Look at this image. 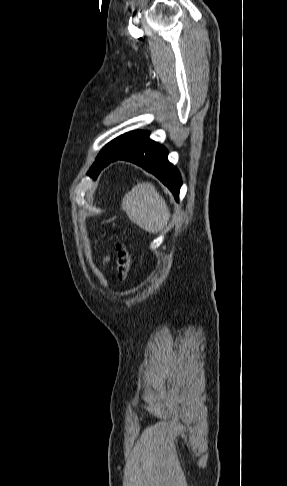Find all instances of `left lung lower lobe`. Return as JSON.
<instances>
[{
  "instance_id": "obj_1",
  "label": "left lung lower lobe",
  "mask_w": 287,
  "mask_h": 486,
  "mask_svg": "<svg viewBox=\"0 0 287 486\" xmlns=\"http://www.w3.org/2000/svg\"><path fill=\"white\" fill-rule=\"evenodd\" d=\"M167 156L168 152L163 146L149 139L140 149L105 161L101 165L99 173L105 166L116 160L133 162L159 178L171 190L178 201L179 190L182 185L181 176L178 170L169 163Z\"/></svg>"
}]
</instances>
